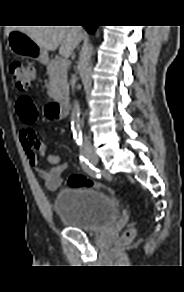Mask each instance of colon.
Returning <instances> with one entry per match:
<instances>
[{"instance_id": "obj_1", "label": "colon", "mask_w": 184, "mask_h": 292, "mask_svg": "<svg viewBox=\"0 0 184 292\" xmlns=\"http://www.w3.org/2000/svg\"><path fill=\"white\" fill-rule=\"evenodd\" d=\"M9 72L20 91H27L35 78L36 71L32 65L22 61H12ZM16 113L22 125L31 126L38 118V109L35 102L28 96H21L16 102ZM69 187L106 188L82 174H72L68 178ZM135 236V229L130 228L122 235V242L128 243Z\"/></svg>"}]
</instances>
